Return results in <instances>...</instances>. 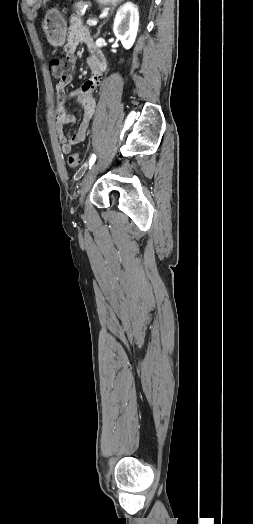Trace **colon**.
I'll list each match as a JSON object with an SVG mask.
<instances>
[{"instance_id": "colon-1", "label": "colon", "mask_w": 253, "mask_h": 524, "mask_svg": "<svg viewBox=\"0 0 253 524\" xmlns=\"http://www.w3.org/2000/svg\"><path fill=\"white\" fill-rule=\"evenodd\" d=\"M52 77L56 80H61L60 76L62 73L67 71V64L65 60L60 58H54L49 63ZM67 164L70 168H76L80 165V156L78 153H71L68 156Z\"/></svg>"}]
</instances>
